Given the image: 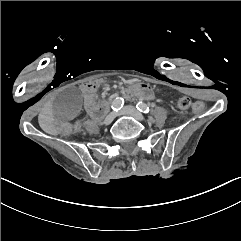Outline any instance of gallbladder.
<instances>
[{
  "instance_id": "bac80fb5",
  "label": "gallbladder",
  "mask_w": 241,
  "mask_h": 241,
  "mask_svg": "<svg viewBox=\"0 0 241 241\" xmlns=\"http://www.w3.org/2000/svg\"><path fill=\"white\" fill-rule=\"evenodd\" d=\"M80 92L76 87H67L54 99V111L60 120H67L80 111Z\"/></svg>"
}]
</instances>
